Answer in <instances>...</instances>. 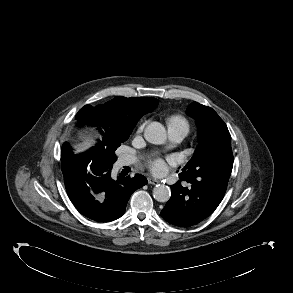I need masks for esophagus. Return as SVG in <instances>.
Masks as SVG:
<instances>
[{"mask_svg":"<svg viewBox=\"0 0 293 293\" xmlns=\"http://www.w3.org/2000/svg\"><path fill=\"white\" fill-rule=\"evenodd\" d=\"M148 183L152 185H157V184H160L161 181L152 177H148Z\"/></svg>","mask_w":293,"mask_h":293,"instance_id":"obj_1","label":"esophagus"}]
</instances>
